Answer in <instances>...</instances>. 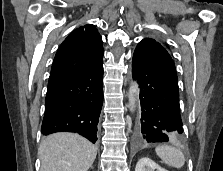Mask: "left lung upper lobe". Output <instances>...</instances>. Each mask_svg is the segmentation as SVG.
Here are the masks:
<instances>
[{"mask_svg": "<svg viewBox=\"0 0 223 171\" xmlns=\"http://www.w3.org/2000/svg\"><path fill=\"white\" fill-rule=\"evenodd\" d=\"M142 41H151V42H155V43L160 44L161 46H163V47L165 48L164 45H162L161 43L155 41L154 39L146 38V39H143ZM165 49H166V48H165Z\"/></svg>", "mask_w": 223, "mask_h": 171, "instance_id": "left-lung-upper-lobe-1", "label": "left lung upper lobe"}]
</instances>
